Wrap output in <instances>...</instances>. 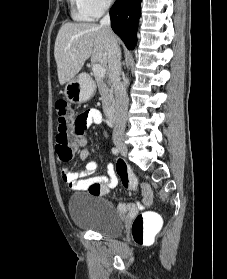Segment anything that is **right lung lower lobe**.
<instances>
[{
    "label": "right lung lower lobe",
    "mask_w": 227,
    "mask_h": 279,
    "mask_svg": "<svg viewBox=\"0 0 227 279\" xmlns=\"http://www.w3.org/2000/svg\"><path fill=\"white\" fill-rule=\"evenodd\" d=\"M141 0H116L110 10L113 31L124 41L128 49L136 44Z\"/></svg>",
    "instance_id": "obj_1"
}]
</instances>
